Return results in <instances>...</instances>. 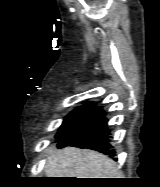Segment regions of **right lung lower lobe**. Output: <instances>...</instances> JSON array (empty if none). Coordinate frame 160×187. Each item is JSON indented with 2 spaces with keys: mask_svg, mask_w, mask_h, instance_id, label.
<instances>
[{
  "mask_svg": "<svg viewBox=\"0 0 160 187\" xmlns=\"http://www.w3.org/2000/svg\"><path fill=\"white\" fill-rule=\"evenodd\" d=\"M102 107L96 109L93 116L72 134L59 140L58 147L75 146L80 148L96 149L97 151L115 156L111 149L110 130L107 128V119Z\"/></svg>",
  "mask_w": 160,
  "mask_h": 187,
  "instance_id": "1",
  "label": "right lung lower lobe"
}]
</instances>
